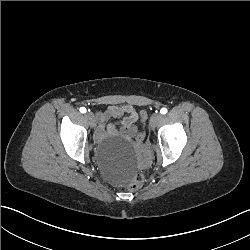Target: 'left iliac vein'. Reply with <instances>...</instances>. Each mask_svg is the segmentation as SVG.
Here are the masks:
<instances>
[{
    "mask_svg": "<svg viewBox=\"0 0 250 250\" xmlns=\"http://www.w3.org/2000/svg\"><path fill=\"white\" fill-rule=\"evenodd\" d=\"M163 116L161 114H153L150 118V127H155L158 123L161 122Z\"/></svg>",
    "mask_w": 250,
    "mask_h": 250,
    "instance_id": "4c4485c4",
    "label": "left iliac vein"
}]
</instances>
